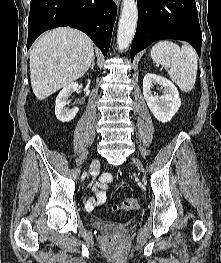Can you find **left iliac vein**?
Masks as SVG:
<instances>
[{"label": "left iliac vein", "mask_w": 221, "mask_h": 263, "mask_svg": "<svg viewBox=\"0 0 221 263\" xmlns=\"http://www.w3.org/2000/svg\"><path fill=\"white\" fill-rule=\"evenodd\" d=\"M132 162L133 164H135L139 169H142V164L140 163V161L136 158H132Z\"/></svg>", "instance_id": "4c4485c4"}]
</instances>
